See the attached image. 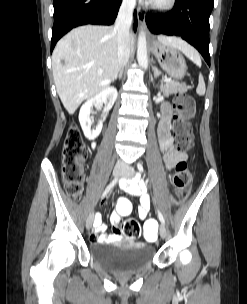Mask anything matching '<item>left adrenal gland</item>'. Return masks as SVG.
<instances>
[{"label":"left adrenal gland","instance_id":"1","mask_svg":"<svg viewBox=\"0 0 247 304\" xmlns=\"http://www.w3.org/2000/svg\"><path fill=\"white\" fill-rule=\"evenodd\" d=\"M152 69H153L154 77H155V78L161 75V71H159L158 68H157L156 66H153ZM162 81H163V78H162V80H161L160 88H161V86H162Z\"/></svg>","mask_w":247,"mask_h":304}]
</instances>
